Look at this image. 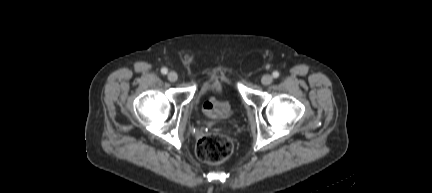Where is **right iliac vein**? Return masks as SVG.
<instances>
[{"instance_id":"63e3f726","label":"right iliac vein","mask_w":432,"mask_h":193,"mask_svg":"<svg viewBox=\"0 0 432 193\" xmlns=\"http://www.w3.org/2000/svg\"><path fill=\"white\" fill-rule=\"evenodd\" d=\"M167 77H168V80L170 81V82H175L177 79H178V75H177V73L176 72H169L168 73V75H167Z\"/></svg>"}]
</instances>
